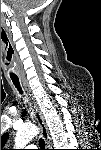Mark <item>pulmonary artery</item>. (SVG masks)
<instances>
[{"instance_id": "pulmonary-artery-1", "label": "pulmonary artery", "mask_w": 101, "mask_h": 150, "mask_svg": "<svg viewBox=\"0 0 101 150\" xmlns=\"http://www.w3.org/2000/svg\"><path fill=\"white\" fill-rule=\"evenodd\" d=\"M27 148L33 149V148H35V146L34 145H28Z\"/></svg>"}]
</instances>
